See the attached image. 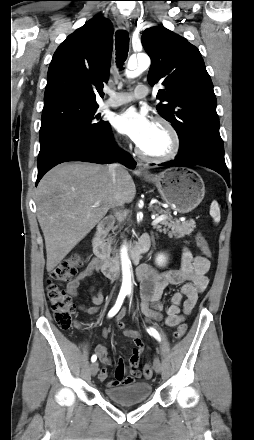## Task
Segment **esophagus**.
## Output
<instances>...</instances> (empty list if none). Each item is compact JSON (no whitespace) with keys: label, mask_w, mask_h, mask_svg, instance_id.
Listing matches in <instances>:
<instances>
[{"label":"esophagus","mask_w":254,"mask_h":440,"mask_svg":"<svg viewBox=\"0 0 254 440\" xmlns=\"http://www.w3.org/2000/svg\"><path fill=\"white\" fill-rule=\"evenodd\" d=\"M117 25L122 30H128L129 29V21L125 17H119L117 19ZM137 170L139 172L146 173L144 167L142 166V164L140 162L137 164Z\"/></svg>","instance_id":"esophagus-1"}]
</instances>
